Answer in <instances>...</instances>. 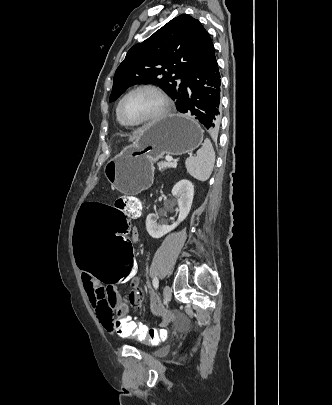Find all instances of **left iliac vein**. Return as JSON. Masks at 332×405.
<instances>
[{"label": "left iliac vein", "mask_w": 332, "mask_h": 405, "mask_svg": "<svg viewBox=\"0 0 332 405\" xmlns=\"http://www.w3.org/2000/svg\"><path fill=\"white\" fill-rule=\"evenodd\" d=\"M172 291L170 286L166 285L163 288V298L165 301H169L171 299Z\"/></svg>", "instance_id": "1"}]
</instances>
